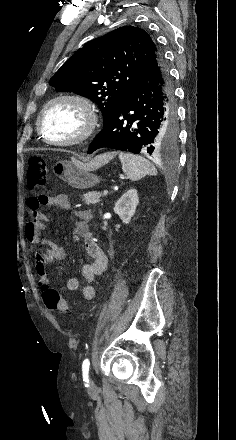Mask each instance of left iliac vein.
<instances>
[{
    "mask_svg": "<svg viewBox=\"0 0 236 440\" xmlns=\"http://www.w3.org/2000/svg\"><path fill=\"white\" fill-rule=\"evenodd\" d=\"M89 386H90V389H93L95 387V385L91 379L89 381Z\"/></svg>",
    "mask_w": 236,
    "mask_h": 440,
    "instance_id": "1",
    "label": "left iliac vein"
}]
</instances>
